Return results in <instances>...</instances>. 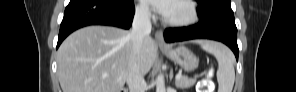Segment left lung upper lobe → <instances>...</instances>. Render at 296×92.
<instances>
[{
	"label": "left lung upper lobe",
	"mask_w": 296,
	"mask_h": 92,
	"mask_svg": "<svg viewBox=\"0 0 296 92\" xmlns=\"http://www.w3.org/2000/svg\"><path fill=\"white\" fill-rule=\"evenodd\" d=\"M197 9L202 25H210L218 16L233 15L231 0H197Z\"/></svg>",
	"instance_id": "obj_1"
}]
</instances>
